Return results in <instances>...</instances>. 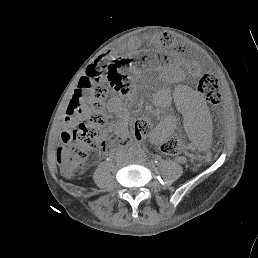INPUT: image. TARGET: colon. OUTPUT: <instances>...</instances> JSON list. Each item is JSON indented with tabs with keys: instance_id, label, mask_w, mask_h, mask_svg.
Wrapping results in <instances>:
<instances>
[{
	"instance_id": "obj_1",
	"label": "colon",
	"mask_w": 258,
	"mask_h": 258,
	"mask_svg": "<svg viewBox=\"0 0 258 258\" xmlns=\"http://www.w3.org/2000/svg\"><path fill=\"white\" fill-rule=\"evenodd\" d=\"M157 43L164 47L173 45L169 36L162 35ZM127 65L119 60L110 61L105 58L96 60L81 78L74 98L69 104V114L75 115L82 108L87 120L78 128L70 130L57 151L60 172L65 177L78 173L84 165L88 152L95 149L117 147L121 144L124 133L116 131L103 135L104 116L101 112L103 101L107 96L106 81L115 90L128 93L131 81L127 74ZM198 91L210 103L220 101L219 81L214 75L206 74L198 82ZM151 132V124L145 119H138L134 124V133L146 137ZM169 156H177L184 152V142L178 136L166 138L160 147Z\"/></svg>"
}]
</instances>
